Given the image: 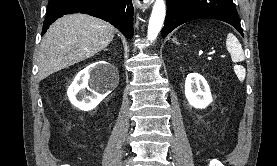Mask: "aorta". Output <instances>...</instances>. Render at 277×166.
<instances>
[{"instance_id": "obj_1", "label": "aorta", "mask_w": 277, "mask_h": 166, "mask_svg": "<svg viewBox=\"0 0 277 166\" xmlns=\"http://www.w3.org/2000/svg\"><path fill=\"white\" fill-rule=\"evenodd\" d=\"M166 7L164 0H156L153 6L152 14L148 25V40L154 41L163 25Z\"/></svg>"}]
</instances>
